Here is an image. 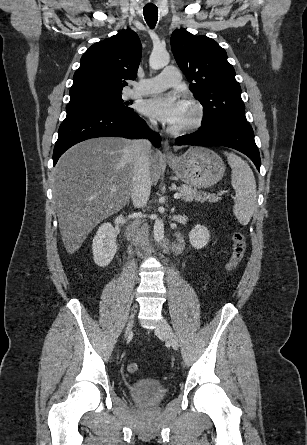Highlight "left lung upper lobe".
<instances>
[{"label":"left lung upper lobe","mask_w":307,"mask_h":445,"mask_svg":"<svg viewBox=\"0 0 307 445\" xmlns=\"http://www.w3.org/2000/svg\"><path fill=\"white\" fill-rule=\"evenodd\" d=\"M171 49L191 82V92L204 107L202 126L224 120L247 122L235 70L216 41L181 28L171 36Z\"/></svg>","instance_id":"1"}]
</instances>
